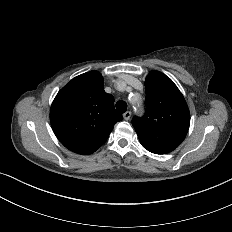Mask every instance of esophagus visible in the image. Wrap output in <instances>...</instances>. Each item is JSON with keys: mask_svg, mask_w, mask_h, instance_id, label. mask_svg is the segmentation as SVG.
I'll return each instance as SVG.
<instances>
[{"mask_svg": "<svg viewBox=\"0 0 232 232\" xmlns=\"http://www.w3.org/2000/svg\"><path fill=\"white\" fill-rule=\"evenodd\" d=\"M131 117V112L130 111H126L124 114H123V118L127 121L129 120Z\"/></svg>", "mask_w": 232, "mask_h": 232, "instance_id": "esophagus-1", "label": "esophagus"}]
</instances>
